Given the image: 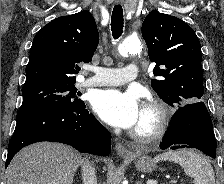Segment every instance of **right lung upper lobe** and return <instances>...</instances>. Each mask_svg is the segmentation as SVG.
<instances>
[{
	"label": "right lung upper lobe",
	"instance_id": "1",
	"mask_svg": "<svg viewBox=\"0 0 224 184\" xmlns=\"http://www.w3.org/2000/svg\"><path fill=\"white\" fill-rule=\"evenodd\" d=\"M99 34L92 14L81 11L54 19L35 35L25 84L75 83L80 62H90Z\"/></svg>",
	"mask_w": 224,
	"mask_h": 184
}]
</instances>
